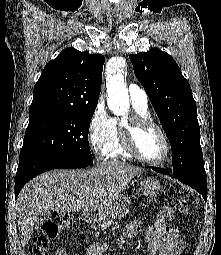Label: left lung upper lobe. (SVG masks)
Here are the masks:
<instances>
[{
	"mask_svg": "<svg viewBox=\"0 0 221 255\" xmlns=\"http://www.w3.org/2000/svg\"><path fill=\"white\" fill-rule=\"evenodd\" d=\"M130 59L170 141L174 176L205 175L197 107L179 66L158 48Z\"/></svg>",
	"mask_w": 221,
	"mask_h": 255,
	"instance_id": "1",
	"label": "left lung upper lobe"
}]
</instances>
